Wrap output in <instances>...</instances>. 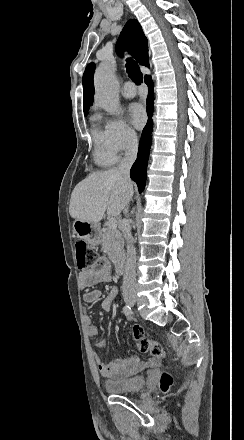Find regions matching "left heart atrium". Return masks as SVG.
I'll use <instances>...</instances> for the list:
<instances>
[{
    "label": "left heart atrium",
    "instance_id": "39dd6f15",
    "mask_svg": "<svg viewBox=\"0 0 244 440\" xmlns=\"http://www.w3.org/2000/svg\"><path fill=\"white\" fill-rule=\"evenodd\" d=\"M130 116L133 125L137 128H141L147 119L145 109L139 103H134L130 106Z\"/></svg>",
    "mask_w": 244,
    "mask_h": 440
}]
</instances>
